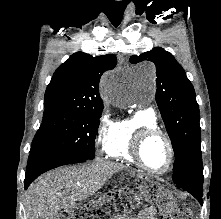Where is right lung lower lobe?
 Segmentation results:
<instances>
[{"instance_id": "1", "label": "right lung lower lobe", "mask_w": 221, "mask_h": 219, "mask_svg": "<svg viewBox=\"0 0 221 219\" xmlns=\"http://www.w3.org/2000/svg\"><path fill=\"white\" fill-rule=\"evenodd\" d=\"M85 161L87 160L67 156L47 148H37L30 151L24 181L25 189H27L29 184L32 183V181L35 180L39 175L50 169L66 164H75Z\"/></svg>"}]
</instances>
